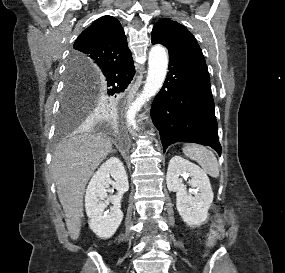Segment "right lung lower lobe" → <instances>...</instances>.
Wrapping results in <instances>:
<instances>
[{
	"label": "right lung lower lobe",
	"mask_w": 285,
	"mask_h": 273,
	"mask_svg": "<svg viewBox=\"0 0 285 273\" xmlns=\"http://www.w3.org/2000/svg\"><path fill=\"white\" fill-rule=\"evenodd\" d=\"M134 74V62L131 58L123 63L104 67L99 72L90 76L88 83L96 89L104 91L105 94L113 96L123 92L127 88ZM103 107H105L108 112H112L115 104L111 103Z\"/></svg>",
	"instance_id": "98d812e1"
}]
</instances>
